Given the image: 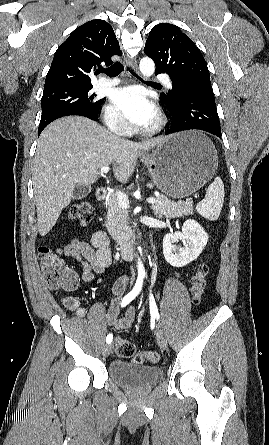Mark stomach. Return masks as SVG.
I'll return each instance as SVG.
<instances>
[{
  "label": "stomach",
  "mask_w": 269,
  "mask_h": 445,
  "mask_svg": "<svg viewBox=\"0 0 269 445\" xmlns=\"http://www.w3.org/2000/svg\"><path fill=\"white\" fill-rule=\"evenodd\" d=\"M143 161L156 187L171 198L181 199L211 179L218 157L206 136L187 131L166 137L151 155L143 157Z\"/></svg>",
  "instance_id": "obj_1"
}]
</instances>
